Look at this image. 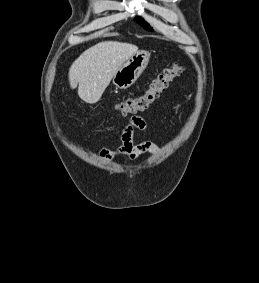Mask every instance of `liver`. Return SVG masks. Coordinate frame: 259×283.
<instances>
[{
	"instance_id": "liver-1",
	"label": "liver",
	"mask_w": 259,
	"mask_h": 283,
	"mask_svg": "<svg viewBox=\"0 0 259 283\" xmlns=\"http://www.w3.org/2000/svg\"><path fill=\"white\" fill-rule=\"evenodd\" d=\"M138 47L117 41L100 42L84 51L69 69L71 88L86 103H97L121 65Z\"/></svg>"
}]
</instances>
